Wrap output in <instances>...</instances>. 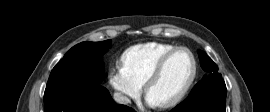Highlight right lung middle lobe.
I'll use <instances>...</instances> for the list:
<instances>
[{
  "label": "right lung middle lobe",
  "mask_w": 270,
  "mask_h": 112,
  "mask_svg": "<svg viewBox=\"0 0 270 112\" xmlns=\"http://www.w3.org/2000/svg\"><path fill=\"white\" fill-rule=\"evenodd\" d=\"M111 46V40L82 42L72 47L51 71L46 88L58 83L94 87L104 77L102 55Z\"/></svg>",
  "instance_id": "dd1d6c3e"
}]
</instances>
